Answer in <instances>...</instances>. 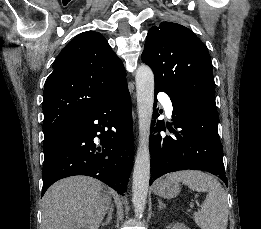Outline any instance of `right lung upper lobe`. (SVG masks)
I'll return each mask as SVG.
<instances>
[{"label": "right lung upper lobe", "instance_id": "cb5924a9", "mask_svg": "<svg viewBox=\"0 0 261 229\" xmlns=\"http://www.w3.org/2000/svg\"><path fill=\"white\" fill-rule=\"evenodd\" d=\"M43 92V130L82 119L125 85L126 71L104 36L87 31L60 52Z\"/></svg>", "mask_w": 261, "mask_h": 229}]
</instances>
